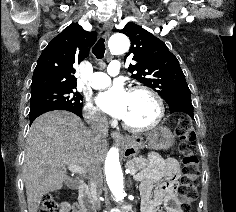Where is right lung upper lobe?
<instances>
[{
    "instance_id": "obj_1",
    "label": "right lung upper lobe",
    "mask_w": 236,
    "mask_h": 212,
    "mask_svg": "<svg viewBox=\"0 0 236 212\" xmlns=\"http://www.w3.org/2000/svg\"><path fill=\"white\" fill-rule=\"evenodd\" d=\"M97 33L72 23L51 40L34 70L31 93L52 88H76L75 65L89 55Z\"/></svg>"
}]
</instances>
